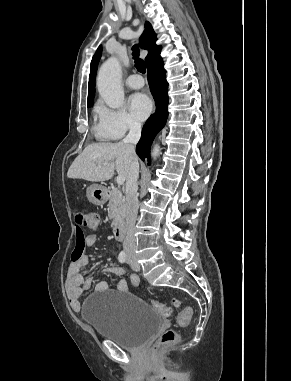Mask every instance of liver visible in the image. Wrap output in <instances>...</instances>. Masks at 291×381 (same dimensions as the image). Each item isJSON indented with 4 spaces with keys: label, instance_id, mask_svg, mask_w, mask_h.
<instances>
[{
    "label": "liver",
    "instance_id": "obj_1",
    "mask_svg": "<svg viewBox=\"0 0 291 381\" xmlns=\"http://www.w3.org/2000/svg\"><path fill=\"white\" fill-rule=\"evenodd\" d=\"M131 164L130 152L126 145L116 143H93L85 147L83 152L71 164L67 177L101 182L113 177L127 179Z\"/></svg>",
    "mask_w": 291,
    "mask_h": 381
}]
</instances>
